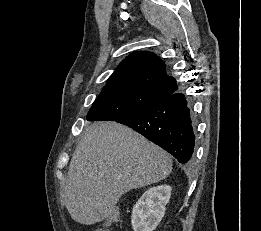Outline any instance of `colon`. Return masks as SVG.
Listing matches in <instances>:
<instances>
[{
    "mask_svg": "<svg viewBox=\"0 0 261 231\" xmlns=\"http://www.w3.org/2000/svg\"><path fill=\"white\" fill-rule=\"evenodd\" d=\"M120 216V211L118 208H113L110 210L109 212V217H108V221L109 222H115ZM95 231H110V229L106 226L103 225L99 228H96Z\"/></svg>",
    "mask_w": 261,
    "mask_h": 231,
    "instance_id": "colon-1",
    "label": "colon"
}]
</instances>
